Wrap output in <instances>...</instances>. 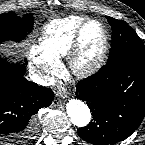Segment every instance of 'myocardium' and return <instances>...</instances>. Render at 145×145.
I'll return each instance as SVG.
<instances>
[{
  "label": "myocardium",
  "instance_id": "f54148a6",
  "mask_svg": "<svg viewBox=\"0 0 145 145\" xmlns=\"http://www.w3.org/2000/svg\"><path fill=\"white\" fill-rule=\"evenodd\" d=\"M98 24L103 34V44L98 57L89 63L82 62L83 34L90 24ZM110 49V38L105 25L97 19L85 20L77 29L71 50L68 54L69 71L76 77L86 78L98 72L105 64Z\"/></svg>",
  "mask_w": 145,
  "mask_h": 145
}]
</instances>
